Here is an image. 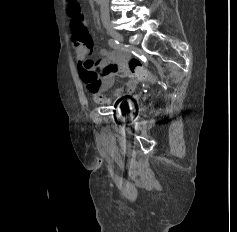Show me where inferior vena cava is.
Wrapping results in <instances>:
<instances>
[{"instance_id": "602c4592", "label": "inferior vena cava", "mask_w": 237, "mask_h": 232, "mask_svg": "<svg viewBox=\"0 0 237 232\" xmlns=\"http://www.w3.org/2000/svg\"><path fill=\"white\" fill-rule=\"evenodd\" d=\"M100 3V12L102 21H108L110 19L109 15V0H98Z\"/></svg>"}]
</instances>
